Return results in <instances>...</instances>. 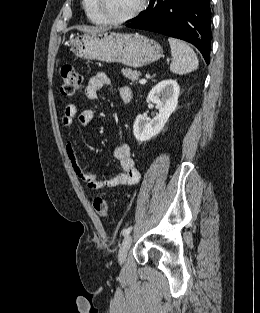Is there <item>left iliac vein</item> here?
<instances>
[{
  "label": "left iliac vein",
  "mask_w": 260,
  "mask_h": 313,
  "mask_svg": "<svg viewBox=\"0 0 260 313\" xmlns=\"http://www.w3.org/2000/svg\"><path fill=\"white\" fill-rule=\"evenodd\" d=\"M131 242H132V237L131 235H126V237L124 238L120 249H119V253H118V260L120 263L124 262V260L126 259L128 250L131 246Z\"/></svg>",
  "instance_id": "left-iliac-vein-1"
}]
</instances>
